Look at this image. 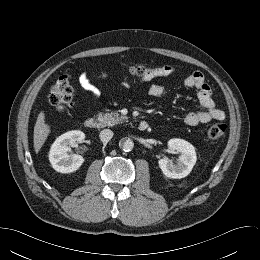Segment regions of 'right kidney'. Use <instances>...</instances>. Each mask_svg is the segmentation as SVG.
Returning a JSON list of instances; mask_svg holds the SVG:
<instances>
[{
	"instance_id": "1",
	"label": "right kidney",
	"mask_w": 260,
	"mask_h": 260,
	"mask_svg": "<svg viewBox=\"0 0 260 260\" xmlns=\"http://www.w3.org/2000/svg\"><path fill=\"white\" fill-rule=\"evenodd\" d=\"M85 134L82 131L75 130L64 133L59 136L52 144L49 152V161L57 172L71 173L78 170L84 162L81 155H69L67 152L71 150L75 144L84 140Z\"/></svg>"
}]
</instances>
